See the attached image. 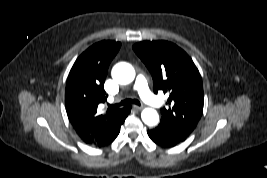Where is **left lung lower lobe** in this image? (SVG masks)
<instances>
[{
  "instance_id": "left-lung-lower-lobe-1",
  "label": "left lung lower lobe",
  "mask_w": 267,
  "mask_h": 178,
  "mask_svg": "<svg viewBox=\"0 0 267 178\" xmlns=\"http://www.w3.org/2000/svg\"><path fill=\"white\" fill-rule=\"evenodd\" d=\"M148 136L155 144L162 147H173L186 139L166 124H159L156 128L148 130Z\"/></svg>"
}]
</instances>
